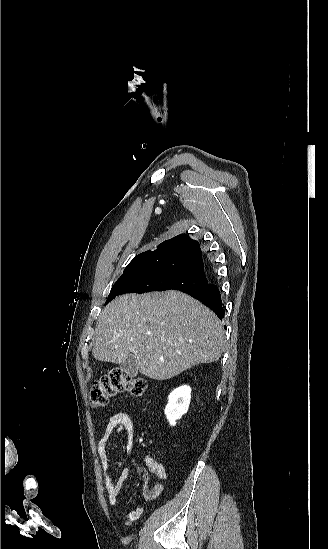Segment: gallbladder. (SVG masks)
Here are the masks:
<instances>
[{"label":"gallbladder","mask_w":328,"mask_h":549,"mask_svg":"<svg viewBox=\"0 0 328 549\" xmlns=\"http://www.w3.org/2000/svg\"><path fill=\"white\" fill-rule=\"evenodd\" d=\"M120 369L121 371H123V373H126L128 377H136V375H138L136 359L134 355H132V353H130L126 361H123V363H121Z\"/></svg>","instance_id":"gallbladder-1"}]
</instances>
